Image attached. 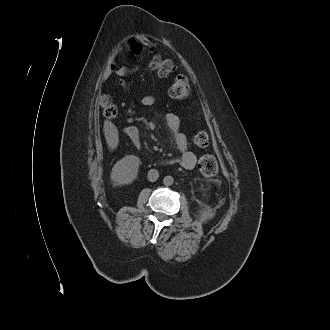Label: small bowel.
I'll list each match as a JSON object with an SVG mask.
<instances>
[{
    "label": "small bowel",
    "instance_id": "c3829d8e",
    "mask_svg": "<svg viewBox=\"0 0 330 330\" xmlns=\"http://www.w3.org/2000/svg\"><path fill=\"white\" fill-rule=\"evenodd\" d=\"M125 46L135 55L138 56L141 53V45L139 42L133 38H130L125 41ZM118 52L114 53L109 61L107 66V72L109 74L115 73L118 76H126L128 74H132L135 72L136 68L129 67H118L116 65V57ZM119 84L121 86H125L124 80H120ZM154 102V99L151 96H146L142 99V103L146 106H151ZM166 124L169 130L172 132L174 136V140L178 150L180 151V156L177 158V161L180 165L185 169L194 168L197 158L193 152L188 149V143L186 136L180 130V119L175 114H167L166 115Z\"/></svg>",
    "mask_w": 330,
    "mask_h": 330
}]
</instances>
